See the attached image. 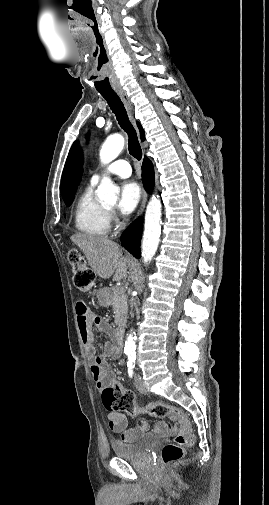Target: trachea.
Returning <instances> with one entry per match:
<instances>
[{"instance_id": "1", "label": "trachea", "mask_w": 269, "mask_h": 505, "mask_svg": "<svg viewBox=\"0 0 269 505\" xmlns=\"http://www.w3.org/2000/svg\"><path fill=\"white\" fill-rule=\"evenodd\" d=\"M100 94L107 101L112 112L115 114L120 127L128 135L129 153L137 160H141L142 149L138 141L137 133L128 118L127 111L120 97L114 91L100 92Z\"/></svg>"}]
</instances>
